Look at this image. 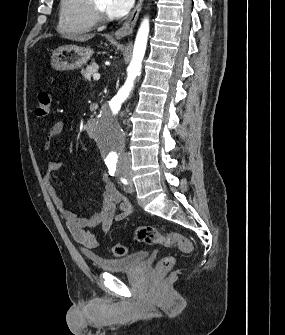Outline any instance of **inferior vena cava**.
<instances>
[{
	"instance_id": "inferior-vena-cava-1",
	"label": "inferior vena cava",
	"mask_w": 285,
	"mask_h": 335,
	"mask_svg": "<svg viewBox=\"0 0 285 335\" xmlns=\"http://www.w3.org/2000/svg\"><path fill=\"white\" fill-rule=\"evenodd\" d=\"M120 160H121V162H129V160H130L129 154H126V152H121Z\"/></svg>"
}]
</instances>
